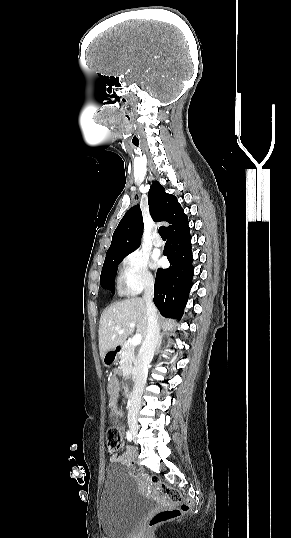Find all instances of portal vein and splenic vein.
<instances>
[{
    "mask_svg": "<svg viewBox=\"0 0 291 538\" xmlns=\"http://www.w3.org/2000/svg\"><path fill=\"white\" fill-rule=\"evenodd\" d=\"M131 327H134L135 326V323H130L129 324ZM141 340H142V337L140 334H135L133 336V338L131 339L130 343L132 346H137L141 343Z\"/></svg>",
    "mask_w": 291,
    "mask_h": 538,
    "instance_id": "1",
    "label": "portal vein and splenic vein"
}]
</instances>
